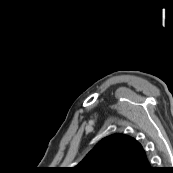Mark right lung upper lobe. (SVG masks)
Segmentation results:
<instances>
[{"mask_svg":"<svg viewBox=\"0 0 173 173\" xmlns=\"http://www.w3.org/2000/svg\"><path fill=\"white\" fill-rule=\"evenodd\" d=\"M142 146L132 137L113 134L102 139L75 167L72 173H126L144 160Z\"/></svg>","mask_w":173,"mask_h":173,"instance_id":"obj_1","label":"right lung upper lobe"}]
</instances>
